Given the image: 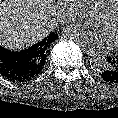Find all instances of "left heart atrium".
<instances>
[{
    "label": "left heart atrium",
    "mask_w": 118,
    "mask_h": 118,
    "mask_svg": "<svg viewBox=\"0 0 118 118\" xmlns=\"http://www.w3.org/2000/svg\"><path fill=\"white\" fill-rule=\"evenodd\" d=\"M67 39L90 50H105L112 46V41L104 27L87 23H78L65 30Z\"/></svg>",
    "instance_id": "left-heart-atrium-1"
}]
</instances>
